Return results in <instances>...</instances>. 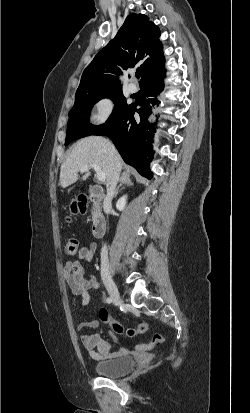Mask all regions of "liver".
Here are the masks:
<instances>
[{"label":"liver","mask_w":250,"mask_h":413,"mask_svg":"<svg viewBox=\"0 0 250 413\" xmlns=\"http://www.w3.org/2000/svg\"><path fill=\"white\" fill-rule=\"evenodd\" d=\"M113 144L101 136H89L79 140L72 148L67 159L60 168V185L63 188L75 183L78 180V172L82 166L98 164L106 176V185L110 184L118 163L119 173L123 166L120 155L116 154V159L112 154ZM91 173L87 170L82 180H86Z\"/></svg>","instance_id":"obj_1"}]
</instances>
